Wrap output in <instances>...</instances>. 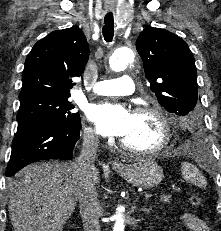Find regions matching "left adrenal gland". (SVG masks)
I'll list each match as a JSON object with an SVG mask.
<instances>
[{"label":"left adrenal gland","mask_w":221,"mask_h":231,"mask_svg":"<svg viewBox=\"0 0 221 231\" xmlns=\"http://www.w3.org/2000/svg\"><path fill=\"white\" fill-rule=\"evenodd\" d=\"M137 202V199L134 201V203ZM135 208V207H134ZM150 208L147 209V208H142L141 211H144V212H149Z\"/></svg>","instance_id":"1"}]
</instances>
